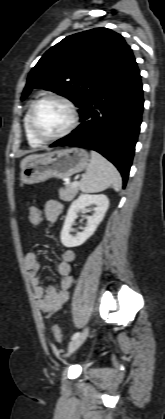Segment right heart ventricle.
Returning <instances> with one entry per match:
<instances>
[{"mask_svg":"<svg viewBox=\"0 0 165 419\" xmlns=\"http://www.w3.org/2000/svg\"><path fill=\"white\" fill-rule=\"evenodd\" d=\"M29 109H30V107L28 108V110H27V112L24 116V120H23L24 131H25L26 139H27L29 145L32 146V147H38V146L41 145V142H39L38 140H36L34 138V136L30 132L29 125H28Z\"/></svg>","mask_w":165,"mask_h":419,"instance_id":"right-heart-ventricle-1","label":"right heart ventricle"}]
</instances>
